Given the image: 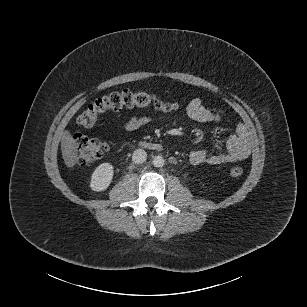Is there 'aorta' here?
Returning a JSON list of instances; mask_svg holds the SVG:
<instances>
[{"label":"aorta","mask_w":307,"mask_h":307,"mask_svg":"<svg viewBox=\"0 0 307 307\" xmlns=\"http://www.w3.org/2000/svg\"><path fill=\"white\" fill-rule=\"evenodd\" d=\"M152 163L155 167H162V166H164L165 161H164V158L162 156L158 155V156H155L153 158Z\"/></svg>","instance_id":"aorta-1"}]
</instances>
